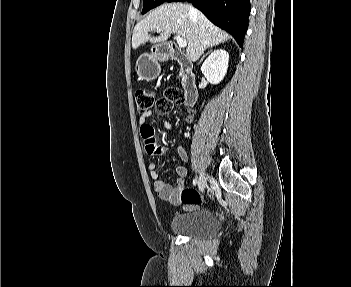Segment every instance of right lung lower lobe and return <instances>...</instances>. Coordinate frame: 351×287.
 Masks as SVG:
<instances>
[{
  "instance_id": "right-lung-lower-lobe-1",
  "label": "right lung lower lobe",
  "mask_w": 351,
  "mask_h": 287,
  "mask_svg": "<svg viewBox=\"0 0 351 287\" xmlns=\"http://www.w3.org/2000/svg\"><path fill=\"white\" fill-rule=\"evenodd\" d=\"M168 2L187 1L199 9L212 23L226 30L242 47L243 37L248 26L249 0H167Z\"/></svg>"
}]
</instances>
